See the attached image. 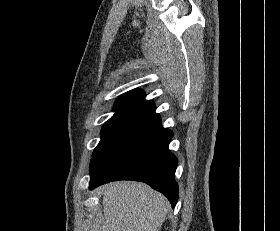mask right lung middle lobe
Segmentation results:
<instances>
[{
  "label": "right lung middle lobe",
  "mask_w": 280,
  "mask_h": 231,
  "mask_svg": "<svg viewBox=\"0 0 280 231\" xmlns=\"http://www.w3.org/2000/svg\"><path fill=\"white\" fill-rule=\"evenodd\" d=\"M134 125L125 121L108 120L101 130V141L93 152L92 159L102 150L108 143L118 137L120 134L133 127ZM91 159V160H92Z\"/></svg>",
  "instance_id": "dd1d6c3e"
}]
</instances>
